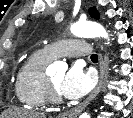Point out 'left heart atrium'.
<instances>
[{
	"mask_svg": "<svg viewBox=\"0 0 133 118\" xmlns=\"http://www.w3.org/2000/svg\"><path fill=\"white\" fill-rule=\"evenodd\" d=\"M94 74L81 64H74L63 77L59 92L68 99H79L94 86Z\"/></svg>",
	"mask_w": 133,
	"mask_h": 118,
	"instance_id": "obj_1",
	"label": "left heart atrium"
}]
</instances>
